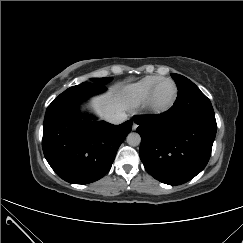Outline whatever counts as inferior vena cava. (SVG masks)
Here are the masks:
<instances>
[{
    "mask_svg": "<svg viewBox=\"0 0 243 243\" xmlns=\"http://www.w3.org/2000/svg\"><path fill=\"white\" fill-rule=\"evenodd\" d=\"M127 119L125 112L119 111L113 114H109L105 117V120L111 124H121Z\"/></svg>",
    "mask_w": 243,
    "mask_h": 243,
    "instance_id": "1",
    "label": "inferior vena cava"
}]
</instances>
